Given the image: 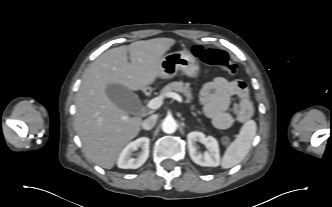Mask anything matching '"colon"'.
<instances>
[{"instance_id":"obj_1","label":"colon","mask_w":332,"mask_h":207,"mask_svg":"<svg viewBox=\"0 0 332 207\" xmlns=\"http://www.w3.org/2000/svg\"><path fill=\"white\" fill-rule=\"evenodd\" d=\"M192 53L202 62L208 65L218 66L229 75H235L238 72V65L230 60L229 55L225 51L195 45L192 47ZM221 141L223 144L227 145L230 142V138L223 136Z\"/></svg>"}]
</instances>
